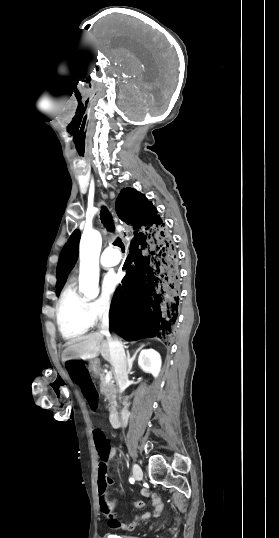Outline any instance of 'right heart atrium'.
I'll return each instance as SVG.
<instances>
[{
	"label": "right heart atrium",
	"instance_id": "right-heart-atrium-1",
	"mask_svg": "<svg viewBox=\"0 0 279 538\" xmlns=\"http://www.w3.org/2000/svg\"><path fill=\"white\" fill-rule=\"evenodd\" d=\"M114 313V304L112 298L109 296H101L92 300L91 302V314L94 322L107 320Z\"/></svg>",
	"mask_w": 279,
	"mask_h": 538
}]
</instances>
